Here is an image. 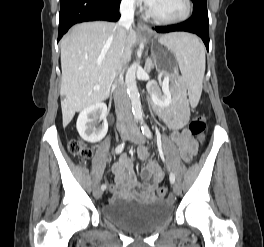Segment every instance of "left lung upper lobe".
Segmentation results:
<instances>
[{"label":"left lung upper lobe","instance_id":"1","mask_svg":"<svg viewBox=\"0 0 264 247\" xmlns=\"http://www.w3.org/2000/svg\"><path fill=\"white\" fill-rule=\"evenodd\" d=\"M194 6H207V0H192Z\"/></svg>","mask_w":264,"mask_h":247}]
</instances>
